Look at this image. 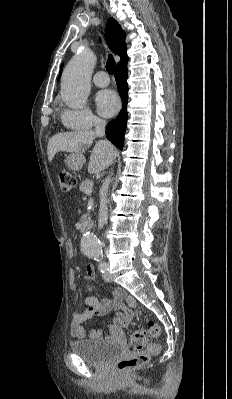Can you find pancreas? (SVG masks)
<instances>
[{"label": "pancreas", "instance_id": "1", "mask_svg": "<svg viewBox=\"0 0 232 399\" xmlns=\"http://www.w3.org/2000/svg\"><path fill=\"white\" fill-rule=\"evenodd\" d=\"M92 186H94L92 180H84V182H81L79 190L86 192V190H91Z\"/></svg>", "mask_w": 232, "mask_h": 399}]
</instances>
